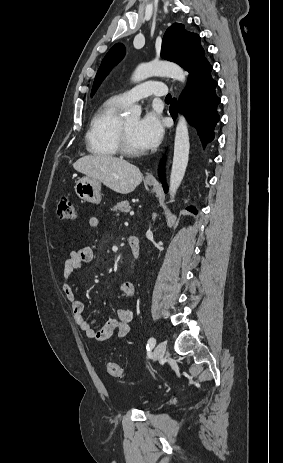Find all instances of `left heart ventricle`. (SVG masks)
<instances>
[{
	"instance_id": "b2bd125f",
	"label": "left heart ventricle",
	"mask_w": 283,
	"mask_h": 463,
	"mask_svg": "<svg viewBox=\"0 0 283 463\" xmlns=\"http://www.w3.org/2000/svg\"><path fill=\"white\" fill-rule=\"evenodd\" d=\"M125 121V126L127 130V136H128V141L130 146L137 151H143V149L140 147L139 143L137 142L136 135H135V129L138 124V118H130L126 119Z\"/></svg>"
}]
</instances>
